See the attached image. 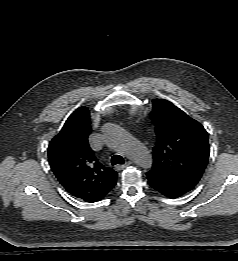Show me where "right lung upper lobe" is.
I'll return each instance as SVG.
<instances>
[{
    "mask_svg": "<svg viewBox=\"0 0 238 261\" xmlns=\"http://www.w3.org/2000/svg\"><path fill=\"white\" fill-rule=\"evenodd\" d=\"M87 107L76 109L48 148L49 164L60 184L86 202L102 199L116 184L117 172L102 165L88 144Z\"/></svg>",
    "mask_w": 238,
    "mask_h": 261,
    "instance_id": "obj_1",
    "label": "right lung upper lobe"
}]
</instances>
